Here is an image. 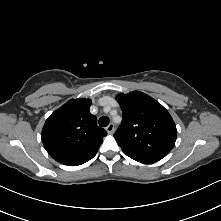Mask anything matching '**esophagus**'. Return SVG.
<instances>
[{"label":"esophagus","mask_w":221,"mask_h":221,"mask_svg":"<svg viewBox=\"0 0 221 221\" xmlns=\"http://www.w3.org/2000/svg\"><path fill=\"white\" fill-rule=\"evenodd\" d=\"M115 130L114 124L110 123L107 127H106V131L108 134H112Z\"/></svg>","instance_id":"esophagus-1"}]
</instances>
